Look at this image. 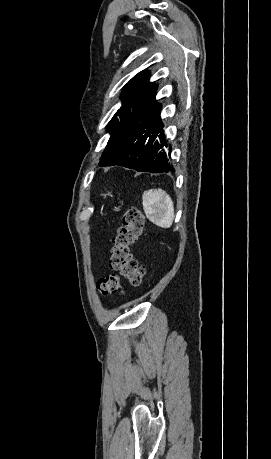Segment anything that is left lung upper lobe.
Segmentation results:
<instances>
[{
  "instance_id": "left-lung-upper-lobe-1",
  "label": "left lung upper lobe",
  "mask_w": 271,
  "mask_h": 459,
  "mask_svg": "<svg viewBox=\"0 0 271 459\" xmlns=\"http://www.w3.org/2000/svg\"><path fill=\"white\" fill-rule=\"evenodd\" d=\"M155 91L156 85L149 82V73L147 71L138 73L125 85L121 95L123 104L106 126V131L112 133L120 123L130 117H142L147 114L155 103ZM107 152L108 143L101 160L106 157Z\"/></svg>"
}]
</instances>
